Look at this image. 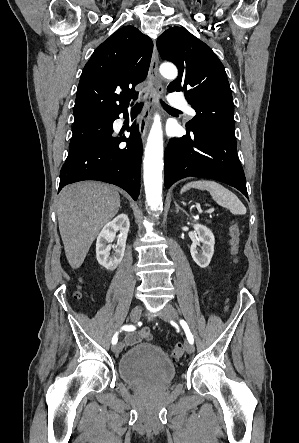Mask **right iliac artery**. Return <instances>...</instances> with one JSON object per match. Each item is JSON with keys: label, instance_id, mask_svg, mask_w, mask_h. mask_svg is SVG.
Masks as SVG:
<instances>
[{"label": "right iliac artery", "instance_id": "obj_1", "mask_svg": "<svg viewBox=\"0 0 299 443\" xmlns=\"http://www.w3.org/2000/svg\"><path fill=\"white\" fill-rule=\"evenodd\" d=\"M136 328L134 325H124L121 327V330L125 331H134ZM118 341V332L112 338V344L115 345Z\"/></svg>", "mask_w": 299, "mask_h": 443}]
</instances>
